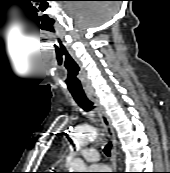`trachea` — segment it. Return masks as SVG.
Listing matches in <instances>:
<instances>
[{
    "mask_svg": "<svg viewBox=\"0 0 170 173\" xmlns=\"http://www.w3.org/2000/svg\"><path fill=\"white\" fill-rule=\"evenodd\" d=\"M74 100L77 104L86 112H89L93 108V103L88 99V97L84 93L72 94ZM104 153L107 156L111 154V144H108L104 147Z\"/></svg>",
    "mask_w": 170,
    "mask_h": 173,
    "instance_id": "3493384b",
    "label": "trachea"
}]
</instances>
